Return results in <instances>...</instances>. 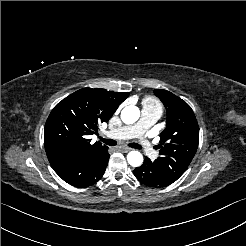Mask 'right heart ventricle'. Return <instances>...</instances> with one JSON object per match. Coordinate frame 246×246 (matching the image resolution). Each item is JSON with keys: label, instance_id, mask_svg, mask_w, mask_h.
<instances>
[{"label": "right heart ventricle", "instance_id": "e07e8e85", "mask_svg": "<svg viewBox=\"0 0 246 246\" xmlns=\"http://www.w3.org/2000/svg\"><path fill=\"white\" fill-rule=\"evenodd\" d=\"M143 109H157L162 113L161 103L151 96H146L142 100Z\"/></svg>", "mask_w": 246, "mask_h": 246}]
</instances>
